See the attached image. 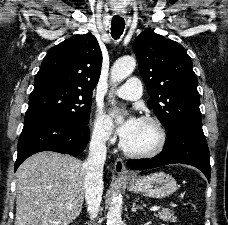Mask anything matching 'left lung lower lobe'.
I'll list each match as a JSON object with an SVG mask.
<instances>
[{"label": "left lung lower lobe", "mask_w": 228, "mask_h": 225, "mask_svg": "<svg viewBox=\"0 0 228 225\" xmlns=\"http://www.w3.org/2000/svg\"><path fill=\"white\" fill-rule=\"evenodd\" d=\"M163 151L151 159L129 160L134 170L150 169L174 163L192 165L201 170L210 182L209 149L202 127L176 126L168 131Z\"/></svg>", "instance_id": "0a47b994"}]
</instances>
